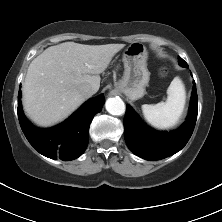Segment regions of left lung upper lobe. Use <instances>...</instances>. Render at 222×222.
Instances as JSON below:
<instances>
[{"mask_svg": "<svg viewBox=\"0 0 222 222\" xmlns=\"http://www.w3.org/2000/svg\"><path fill=\"white\" fill-rule=\"evenodd\" d=\"M178 61L182 67H186V68L188 67L187 63L179 56H178Z\"/></svg>", "mask_w": 222, "mask_h": 222, "instance_id": "left-lung-upper-lobe-1", "label": "left lung upper lobe"}]
</instances>
